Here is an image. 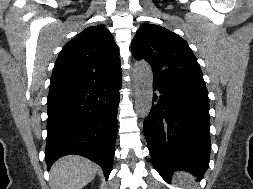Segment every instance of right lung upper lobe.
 <instances>
[{"label":"right lung upper lobe","instance_id":"cb5924a9","mask_svg":"<svg viewBox=\"0 0 253 189\" xmlns=\"http://www.w3.org/2000/svg\"><path fill=\"white\" fill-rule=\"evenodd\" d=\"M121 73L119 50L109 30L92 26L65 44L55 62L50 88L96 84Z\"/></svg>","mask_w":253,"mask_h":189}]
</instances>
